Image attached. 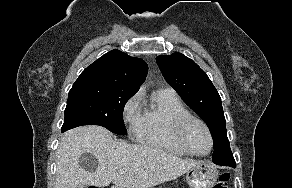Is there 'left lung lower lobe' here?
<instances>
[{
	"instance_id": "1",
	"label": "left lung lower lobe",
	"mask_w": 292,
	"mask_h": 188,
	"mask_svg": "<svg viewBox=\"0 0 292 188\" xmlns=\"http://www.w3.org/2000/svg\"><path fill=\"white\" fill-rule=\"evenodd\" d=\"M216 164H220V165H228V164L235 165V161H234L233 157H230L229 160L220 161V162H217Z\"/></svg>"
}]
</instances>
